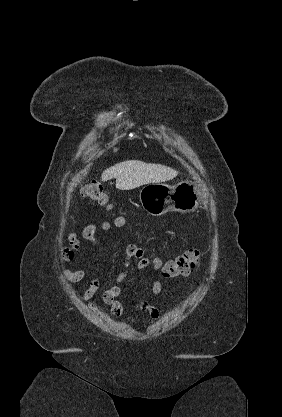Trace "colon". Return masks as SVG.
Here are the masks:
<instances>
[{"instance_id": "obj_1", "label": "colon", "mask_w": 282, "mask_h": 417, "mask_svg": "<svg viewBox=\"0 0 282 417\" xmlns=\"http://www.w3.org/2000/svg\"><path fill=\"white\" fill-rule=\"evenodd\" d=\"M81 195L89 198L101 206L111 208L112 203L104 186L96 181L88 182L81 187ZM118 226H125L126 219L122 214L116 218ZM137 235V234H136ZM199 259L198 251L190 249L172 259L162 260L155 258L153 263L160 269L162 274L167 278L181 277L189 274L190 270L197 264Z\"/></svg>"}]
</instances>
